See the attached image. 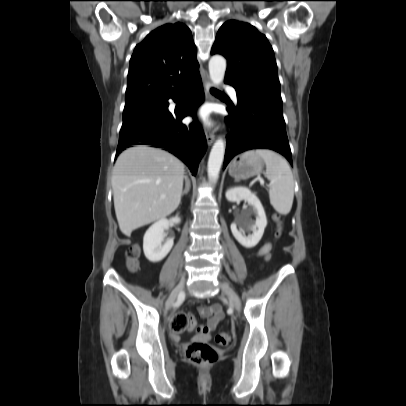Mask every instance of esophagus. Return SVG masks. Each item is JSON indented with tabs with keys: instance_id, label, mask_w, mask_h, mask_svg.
Returning <instances> with one entry per match:
<instances>
[{
	"instance_id": "esophagus-1",
	"label": "esophagus",
	"mask_w": 406,
	"mask_h": 406,
	"mask_svg": "<svg viewBox=\"0 0 406 406\" xmlns=\"http://www.w3.org/2000/svg\"><path fill=\"white\" fill-rule=\"evenodd\" d=\"M203 86H204V90H205L206 97H207L208 99H210V98H211L210 89H211V87H212V84H211V81L209 80L208 77H205V78H204V80H203ZM205 136H206L207 144H208L209 146L212 145V143H213V141H214V139H215V133H214V131L211 130V129H209V128H207V129L205 130Z\"/></svg>"
}]
</instances>
